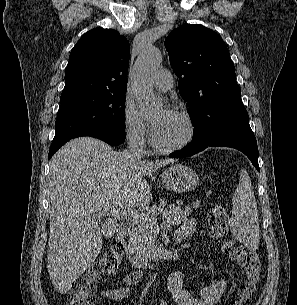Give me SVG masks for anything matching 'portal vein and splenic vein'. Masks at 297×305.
<instances>
[{
    "label": "portal vein and splenic vein",
    "instance_id": "obj_1",
    "mask_svg": "<svg viewBox=\"0 0 297 305\" xmlns=\"http://www.w3.org/2000/svg\"><path fill=\"white\" fill-rule=\"evenodd\" d=\"M99 214L113 216V217H121L128 221H135V220L145 216L144 213H139V212L133 211V210H121L120 208H118L116 206H111L109 208L100 209Z\"/></svg>",
    "mask_w": 297,
    "mask_h": 305
}]
</instances>
